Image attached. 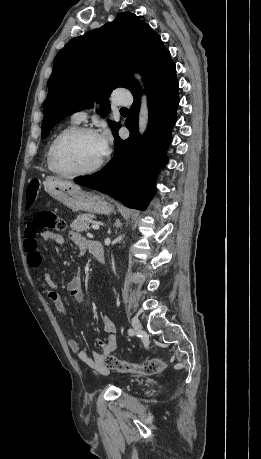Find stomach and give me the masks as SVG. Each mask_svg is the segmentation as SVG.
Here are the masks:
<instances>
[{
  "mask_svg": "<svg viewBox=\"0 0 261 459\" xmlns=\"http://www.w3.org/2000/svg\"><path fill=\"white\" fill-rule=\"evenodd\" d=\"M44 186L51 197L72 211L109 214L114 209V206L104 196L84 191L70 181L47 177Z\"/></svg>",
  "mask_w": 261,
  "mask_h": 459,
  "instance_id": "0dacf381",
  "label": "stomach"
}]
</instances>
